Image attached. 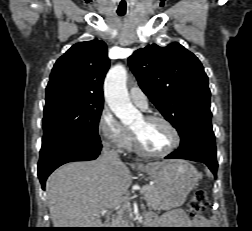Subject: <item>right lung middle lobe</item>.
Listing matches in <instances>:
<instances>
[{
	"mask_svg": "<svg viewBox=\"0 0 252 231\" xmlns=\"http://www.w3.org/2000/svg\"><path fill=\"white\" fill-rule=\"evenodd\" d=\"M103 103L79 100L70 96L46 99L42 145L62 137L100 142L98 122Z\"/></svg>",
	"mask_w": 252,
	"mask_h": 231,
	"instance_id": "right-lung-middle-lobe-1",
	"label": "right lung middle lobe"
}]
</instances>
